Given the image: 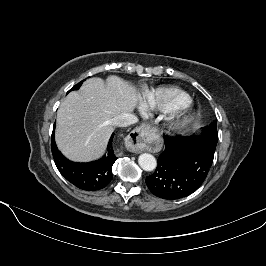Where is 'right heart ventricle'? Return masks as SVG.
<instances>
[{
    "mask_svg": "<svg viewBox=\"0 0 266 266\" xmlns=\"http://www.w3.org/2000/svg\"><path fill=\"white\" fill-rule=\"evenodd\" d=\"M192 102L188 93L177 87H160L146 94L144 106L154 112L172 113L189 106Z\"/></svg>",
    "mask_w": 266,
    "mask_h": 266,
    "instance_id": "right-heart-ventricle-1",
    "label": "right heart ventricle"
}]
</instances>
